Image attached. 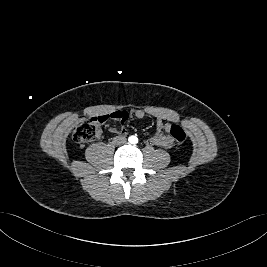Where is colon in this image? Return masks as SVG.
I'll return each instance as SVG.
<instances>
[{"label": "colon", "mask_w": 267, "mask_h": 267, "mask_svg": "<svg viewBox=\"0 0 267 267\" xmlns=\"http://www.w3.org/2000/svg\"><path fill=\"white\" fill-rule=\"evenodd\" d=\"M115 116H98L90 117L78 125H76L71 131V137L74 142L83 144L96 139L101 132L103 123L108 119H115L118 117L120 121L124 122L127 120V115L123 111L117 112ZM170 135L178 144H183L187 140V134L184 129L176 124H172L170 127Z\"/></svg>", "instance_id": "1"}]
</instances>
